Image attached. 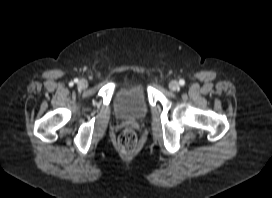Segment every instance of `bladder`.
<instances>
[{"label":"bladder","instance_id":"31cf9c89","mask_svg":"<svg viewBox=\"0 0 272 198\" xmlns=\"http://www.w3.org/2000/svg\"><path fill=\"white\" fill-rule=\"evenodd\" d=\"M147 93L140 85H129L115 96L114 113L121 120L141 121L148 115Z\"/></svg>","mask_w":272,"mask_h":198}]
</instances>
